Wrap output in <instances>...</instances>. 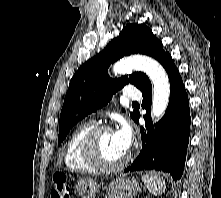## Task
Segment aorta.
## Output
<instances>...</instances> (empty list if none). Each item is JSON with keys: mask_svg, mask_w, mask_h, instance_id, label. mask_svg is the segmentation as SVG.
<instances>
[{"mask_svg": "<svg viewBox=\"0 0 221 198\" xmlns=\"http://www.w3.org/2000/svg\"><path fill=\"white\" fill-rule=\"evenodd\" d=\"M133 69L144 72L153 84L152 117L159 119L164 114L170 96V84L164 68L154 59L147 56H132L113 66L115 74H124Z\"/></svg>", "mask_w": 221, "mask_h": 198, "instance_id": "aorta-1", "label": "aorta"}]
</instances>
